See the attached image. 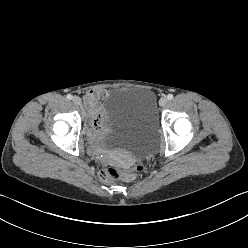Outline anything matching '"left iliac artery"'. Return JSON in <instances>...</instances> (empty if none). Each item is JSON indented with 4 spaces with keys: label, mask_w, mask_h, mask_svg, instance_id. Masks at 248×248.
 <instances>
[{
    "label": "left iliac artery",
    "mask_w": 248,
    "mask_h": 248,
    "mask_svg": "<svg viewBox=\"0 0 248 248\" xmlns=\"http://www.w3.org/2000/svg\"><path fill=\"white\" fill-rule=\"evenodd\" d=\"M167 98H168V100H172L173 99V94H168Z\"/></svg>",
    "instance_id": "44dca946"
}]
</instances>
